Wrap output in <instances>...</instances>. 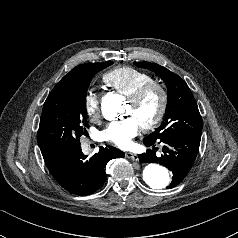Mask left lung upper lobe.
Returning a JSON list of instances; mask_svg holds the SVG:
<instances>
[{
  "label": "left lung upper lobe",
  "mask_w": 238,
  "mask_h": 238,
  "mask_svg": "<svg viewBox=\"0 0 238 238\" xmlns=\"http://www.w3.org/2000/svg\"><path fill=\"white\" fill-rule=\"evenodd\" d=\"M134 64L153 71L167 86V107L163 122L146 138L157 140L173 134H201L202 117L191 90L184 80L158 64L150 62H134Z\"/></svg>",
  "instance_id": "1"
}]
</instances>
